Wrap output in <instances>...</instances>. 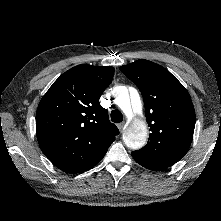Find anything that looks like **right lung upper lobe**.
I'll return each mask as SVG.
<instances>
[{"mask_svg":"<svg viewBox=\"0 0 221 221\" xmlns=\"http://www.w3.org/2000/svg\"><path fill=\"white\" fill-rule=\"evenodd\" d=\"M111 66L78 65L62 74L41 99L36 134L42 152L67 173L86 171L119 134L99 103L112 82Z\"/></svg>","mask_w":221,"mask_h":221,"instance_id":"obj_1","label":"right lung upper lobe"}]
</instances>
